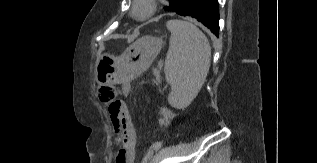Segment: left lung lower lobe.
<instances>
[{
	"instance_id": "left-lung-lower-lobe-1",
	"label": "left lung lower lobe",
	"mask_w": 317,
	"mask_h": 163,
	"mask_svg": "<svg viewBox=\"0 0 317 163\" xmlns=\"http://www.w3.org/2000/svg\"><path fill=\"white\" fill-rule=\"evenodd\" d=\"M217 0H181L174 11L181 16L196 18L217 37L219 34V11Z\"/></svg>"
}]
</instances>
